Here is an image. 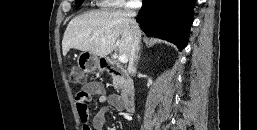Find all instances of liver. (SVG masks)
<instances>
[{"mask_svg":"<svg viewBox=\"0 0 257 130\" xmlns=\"http://www.w3.org/2000/svg\"><path fill=\"white\" fill-rule=\"evenodd\" d=\"M121 36L119 54L127 58L131 52L129 18L124 12L93 11L73 18L63 36L62 52L66 56L71 48L106 57Z\"/></svg>","mask_w":257,"mask_h":130,"instance_id":"liver-1","label":"liver"}]
</instances>
